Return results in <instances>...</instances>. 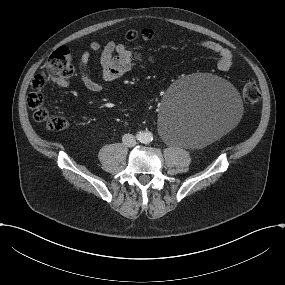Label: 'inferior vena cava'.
<instances>
[{
    "instance_id": "obj_1",
    "label": "inferior vena cava",
    "mask_w": 285,
    "mask_h": 285,
    "mask_svg": "<svg viewBox=\"0 0 285 285\" xmlns=\"http://www.w3.org/2000/svg\"><path fill=\"white\" fill-rule=\"evenodd\" d=\"M124 144L128 147H133L136 144L135 137L129 134L123 136Z\"/></svg>"
}]
</instances>
